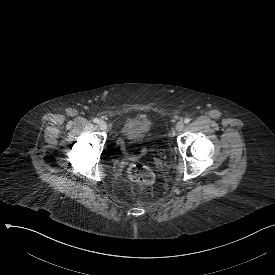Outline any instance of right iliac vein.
Wrapping results in <instances>:
<instances>
[{"instance_id": "right-iliac-vein-1", "label": "right iliac vein", "mask_w": 275, "mask_h": 275, "mask_svg": "<svg viewBox=\"0 0 275 275\" xmlns=\"http://www.w3.org/2000/svg\"><path fill=\"white\" fill-rule=\"evenodd\" d=\"M99 127L104 130L106 128V122L105 121H100L99 122Z\"/></svg>"}]
</instances>
